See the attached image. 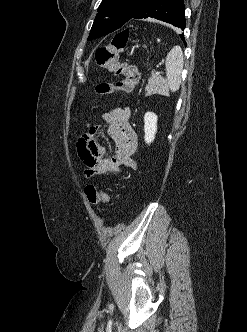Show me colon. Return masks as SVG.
<instances>
[{
  "label": "colon",
  "mask_w": 247,
  "mask_h": 332,
  "mask_svg": "<svg viewBox=\"0 0 247 332\" xmlns=\"http://www.w3.org/2000/svg\"><path fill=\"white\" fill-rule=\"evenodd\" d=\"M130 31L123 30L117 33L109 45L101 46L96 50L97 65L111 72L119 79L115 82H102L96 85L95 92L100 95H109L118 92H130L139 81L137 68L127 62L119 60L120 52L125 48ZM88 201L92 204L104 203L110 200V195L93 185L85 188Z\"/></svg>",
  "instance_id": "obj_1"
}]
</instances>
